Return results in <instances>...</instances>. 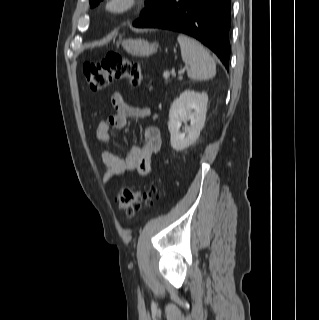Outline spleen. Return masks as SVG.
<instances>
[{
	"label": "spleen",
	"instance_id": "spleen-1",
	"mask_svg": "<svg viewBox=\"0 0 319 320\" xmlns=\"http://www.w3.org/2000/svg\"><path fill=\"white\" fill-rule=\"evenodd\" d=\"M183 61L189 65L188 77L194 80L211 79L216 65L208 51L195 39L180 34L177 37Z\"/></svg>",
	"mask_w": 319,
	"mask_h": 320
}]
</instances>
